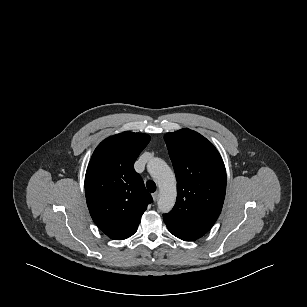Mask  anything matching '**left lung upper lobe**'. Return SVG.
Listing matches in <instances>:
<instances>
[{
  "instance_id": "left-lung-upper-lobe-1",
  "label": "left lung upper lobe",
  "mask_w": 307,
  "mask_h": 307,
  "mask_svg": "<svg viewBox=\"0 0 307 307\" xmlns=\"http://www.w3.org/2000/svg\"><path fill=\"white\" fill-rule=\"evenodd\" d=\"M177 179L174 208L163 215L171 230L196 240L213 226L223 206L226 171L223 160L201 134L182 129L164 136Z\"/></svg>"
}]
</instances>
